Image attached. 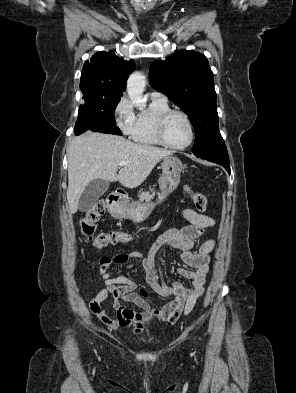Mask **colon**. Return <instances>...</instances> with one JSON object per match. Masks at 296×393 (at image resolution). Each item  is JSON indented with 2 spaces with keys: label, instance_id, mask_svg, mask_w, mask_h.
Masks as SVG:
<instances>
[{
  "label": "colon",
  "instance_id": "5ec220e1",
  "mask_svg": "<svg viewBox=\"0 0 296 393\" xmlns=\"http://www.w3.org/2000/svg\"><path fill=\"white\" fill-rule=\"evenodd\" d=\"M195 208L202 212L207 205L206 197L198 192H193L189 188L186 189ZM105 213V202L98 201L85 215L80 222V229L86 241L90 242L97 248H103L109 245H117L126 243L131 238L128 234L121 231H108L96 234V224Z\"/></svg>",
  "mask_w": 296,
  "mask_h": 393
}]
</instances>
